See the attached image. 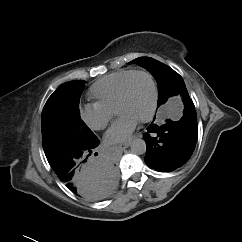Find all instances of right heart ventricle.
Listing matches in <instances>:
<instances>
[{"label":"right heart ventricle","mask_w":242,"mask_h":242,"mask_svg":"<svg viewBox=\"0 0 242 242\" xmlns=\"http://www.w3.org/2000/svg\"><path fill=\"white\" fill-rule=\"evenodd\" d=\"M133 69H123L97 80L89 89V95L96 103L115 111L120 88Z\"/></svg>","instance_id":"1"}]
</instances>
